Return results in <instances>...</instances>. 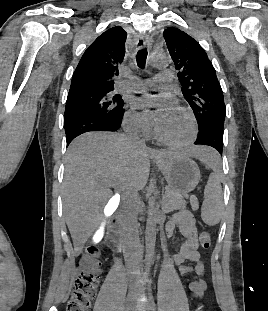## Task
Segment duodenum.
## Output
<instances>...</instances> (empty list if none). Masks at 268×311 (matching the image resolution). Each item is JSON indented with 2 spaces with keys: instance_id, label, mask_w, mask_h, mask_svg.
Instances as JSON below:
<instances>
[{
  "instance_id": "410a0bca",
  "label": "duodenum",
  "mask_w": 268,
  "mask_h": 311,
  "mask_svg": "<svg viewBox=\"0 0 268 311\" xmlns=\"http://www.w3.org/2000/svg\"><path fill=\"white\" fill-rule=\"evenodd\" d=\"M109 245L112 249L119 251L123 246V239L118 225V219L112 217L107 225Z\"/></svg>"
}]
</instances>
